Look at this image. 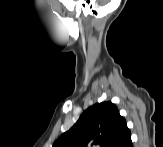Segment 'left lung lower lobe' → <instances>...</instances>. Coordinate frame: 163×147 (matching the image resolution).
Instances as JSON below:
<instances>
[{
    "label": "left lung lower lobe",
    "mask_w": 163,
    "mask_h": 147,
    "mask_svg": "<svg viewBox=\"0 0 163 147\" xmlns=\"http://www.w3.org/2000/svg\"><path fill=\"white\" fill-rule=\"evenodd\" d=\"M114 147H133L131 141V134L128 127H126L117 142L115 143Z\"/></svg>",
    "instance_id": "left-lung-lower-lobe-1"
}]
</instances>
